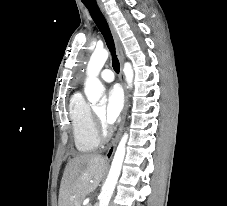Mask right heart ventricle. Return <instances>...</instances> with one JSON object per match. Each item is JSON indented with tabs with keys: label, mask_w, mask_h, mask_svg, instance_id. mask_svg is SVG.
<instances>
[{
	"label": "right heart ventricle",
	"mask_w": 227,
	"mask_h": 206,
	"mask_svg": "<svg viewBox=\"0 0 227 206\" xmlns=\"http://www.w3.org/2000/svg\"><path fill=\"white\" fill-rule=\"evenodd\" d=\"M69 117L77 150L83 153L95 150L100 143V138L94 116L90 105L79 92L73 94L70 99Z\"/></svg>",
	"instance_id": "obj_1"
}]
</instances>
